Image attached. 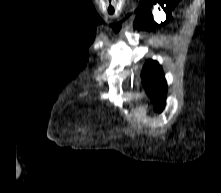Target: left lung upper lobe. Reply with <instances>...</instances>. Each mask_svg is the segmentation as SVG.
<instances>
[{
	"instance_id": "5c2ea615",
	"label": "left lung upper lobe",
	"mask_w": 221,
	"mask_h": 193,
	"mask_svg": "<svg viewBox=\"0 0 221 193\" xmlns=\"http://www.w3.org/2000/svg\"><path fill=\"white\" fill-rule=\"evenodd\" d=\"M142 82L157 111H162L165 106L167 84L160 65L149 60L142 71Z\"/></svg>"
}]
</instances>
